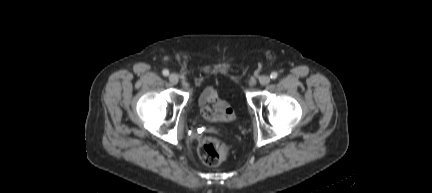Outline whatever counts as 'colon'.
I'll return each instance as SVG.
<instances>
[{"label":"colon","mask_w":432,"mask_h":193,"mask_svg":"<svg viewBox=\"0 0 432 193\" xmlns=\"http://www.w3.org/2000/svg\"><path fill=\"white\" fill-rule=\"evenodd\" d=\"M229 145L215 138L203 140L198 148L200 159L209 166L221 164L228 157Z\"/></svg>","instance_id":"1"}]
</instances>
